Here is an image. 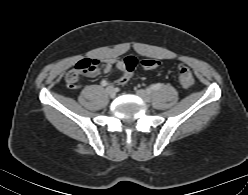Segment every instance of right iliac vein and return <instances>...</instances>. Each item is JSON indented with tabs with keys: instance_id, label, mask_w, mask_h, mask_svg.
Masks as SVG:
<instances>
[{
	"instance_id": "1",
	"label": "right iliac vein",
	"mask_w": 248,
	"mask_h": 195,
	"mask_svg": "<svg viewBox=\"0 0 248 195\" xmlns=\"http://www.w3.org/2000/svg\"><path fill=\"white\" fill-rule=\"evenodd\" d=\"M106 92L111 98H114L116 96L115 89L112 86H107Z\"/></svg>"
}]
</instances>
